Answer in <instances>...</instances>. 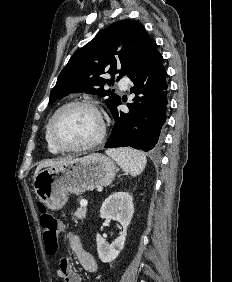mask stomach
<instances>
[{"label":"stomach","instance_id":"stomach-1","mask_svg":"<svg viewBox=\"0 0 232 282\" xmlns=\"http://www.w3.org/2000/svg\"><path fill=\"white\" fill-rule=\"evenodd\" d=\"M116 173L113 160L103 154L92 153L41 170L34 177L33 187L46 207L60 209L67 202L68 194L80 195L107 186Z\"/></svg>","mask_w":232,"mask_h":282}]
</instances>
